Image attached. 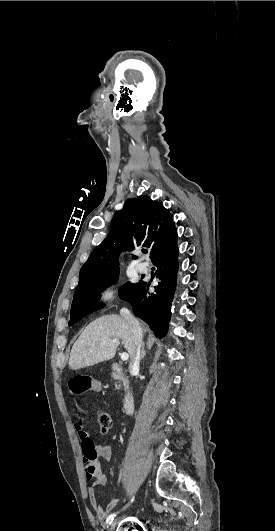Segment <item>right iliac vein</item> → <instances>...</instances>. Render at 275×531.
Returning <instances> with one entry per match:
<instances>
[{
	"instance_id": "63e3f726",
	"label": "right iliac vein",
	"mask_w": 275,
	"mask_h": 531,
	"mask_svg": "<svg viewBox=\"0 0 275 531\" xmlns=\"http://www.w3.org/2000/svg\"><path fill=\"white\" fill-rule=\"evenodd\" d=\"M115 527H116V522H113L108 531H114Z\"/></svg>"
}]
</instances>
